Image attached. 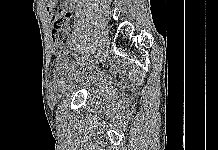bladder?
<instances>
[{
  "label": "bladder",
  "instance_id": "31cf9c89",
  "mask_svg": "<svg viewBox=\"0 0 218 150\" xmlns=\"http://www.w3.org/2000/svg\"><path fill=\"white\" fill-rule=\"evenodd\" d=\"M67 78H68L67 75H61L60 78H59V81L60 82H65L67 80Z\"/></svg>",
  "mask_w": 218,
  "mask_h": 150
}]
</instances>
